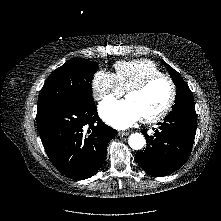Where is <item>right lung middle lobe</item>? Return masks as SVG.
Masks as SVG:
<instances>
[{
    "instance_id": "dd1d6c3e",
    "label": "right lung middle lobe",
    "mask_w": 221,
    "mask_h": 221,
    "mask_svg": "<svg viewBox=\"0 0 221 221\" xmlns=\"http://www.w3.org/2000/svg\"><path fill=\"white\" fill-rule=\"evenodd\" d=\"M98 69L95 63L88 60H68L46 80L38 98V106L62 99L91 96L92 79Z\"/></svg>"
}]
</instances>
